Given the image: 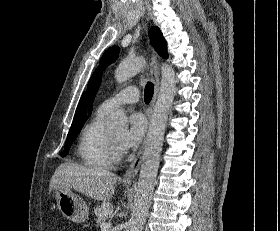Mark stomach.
I'll use <instances>...</instances> for the list:
<instances>
[{
  "mask_svg": "<svg viewBox=\"0 0 280 231\" xmlns=\"http://www.w3.org/2000/svg\"><path fill=\"white\" fill-rule=\"evenodd\" d=\"M54 193L57 199V205L70 221L81 223L85 221L89 215V207L86 201H83L80 195H76L71 191L70 187L63 189V187H54Z\"/></svg>",
  "mask_w": 280,
  "mask_h": 231,
  "instance_id": "0dacf381",
  "label": "stomach"
}]
</instances>
